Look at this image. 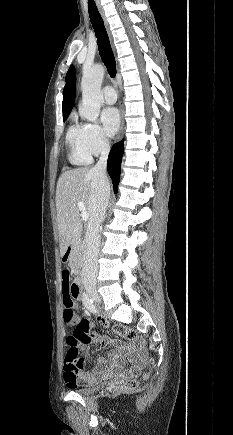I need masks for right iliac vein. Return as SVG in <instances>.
I'll return each mask as SVG.
<instances>
[{"label":"right iliac vein","instance_id":"obj_1","mask_svg":"<svg viewBox=\"0 0 233 435\" xmlns=\"http://www.w3.org/2000/svg\"><path fill=\"white\" fill-rule=\"evenodd\" d=\"M88 293L93 299H95L96 301H100V297L92 289H89Z\"/></svg>","mask_w":233,"mask_h":435}]
</instances>
